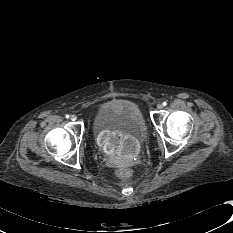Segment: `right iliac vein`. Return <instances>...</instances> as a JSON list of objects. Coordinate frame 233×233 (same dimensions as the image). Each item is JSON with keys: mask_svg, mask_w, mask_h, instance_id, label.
I'll return each instance as SVG.
<instances>
[{"mask_svg": "<svg viewBox=\"0 0 233 233\" xmlns=\"http://www.w3.org/2000/svg\"><path fill=\"white\" fill-rule=\"evenodd\" d=\"M72 121H75L77 119V117L75 115H72L70 118Z\"/></svg>", "mask_w": 233, "mask_h": 233, "instance_id": "63e3f726", "label": "right iliac vein"}]
</instances>
